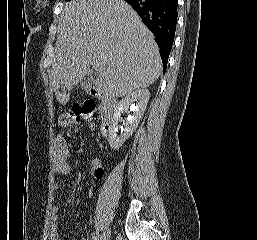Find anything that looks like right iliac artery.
I'll list each match as a JSON object with an SVG mask.
<instances>
[{
  "label": "right iliac artery",
  "instance_id": "obj_1",
  "mask_svg": "<svg viewBox=\"0 0 257 240\" xmlns=\"http://www.w3.org/2000/svg\"><path fill=\"white\" fill-rule=\"evenodd\" d=\"M100 232L99 230H96L93 234L92 240H99Z\"/></svg>",
  "mask_w": 257,
  "mask_h": 240
}]
</instances>
